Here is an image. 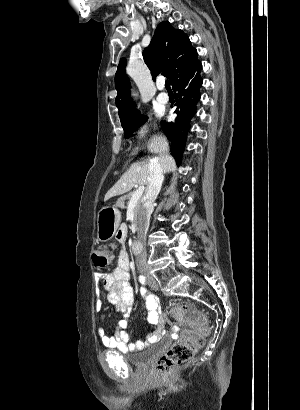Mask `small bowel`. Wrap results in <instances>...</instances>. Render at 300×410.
Instances as JSON below:
<instances>
[{"label":"small bowel","mask_w":300,"mask_h":410,"mask_svg":"<svg viewBox=\"0 0 300 410\" xmlns=\"http://www.w3.org/2000/svg\"><path fill=\"white\" fill-rule=\"evenodd\" d=\"M120 241L125 240L124 235H120ZM130 259L126 250H121L118 256L117 267L109 273L102 274L99 279L104 290L108 293V301L113 304L121 314L117 329L113 334H107L105 327L98 329L101 342L105 347L116 348L122 352H137L147 343L158 341L166 332V316L160 308L159 298L151 294L146 289L140 290V296L144 300L148 314L147 320L156 326L153 333L146 336L145 340H133L127 332L129 319L133 311L135 292L130 282ZM102 301H97L96 309L103 311Z\"/></svg>","instance_id":"c3829d8e"}]
</instances>
